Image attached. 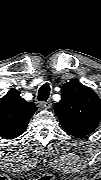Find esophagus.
I'll use <instances>...</instances> for the list:
<instances>
[{"label":"esophagus","mask_w":101,"mask_h":180,"mask_svg":"<svg viewBox=\"0 0 101 180\" xmlns=\"http://www.w3.org/2000/svg\"><path fill=\"white\" fill-rule=\"evenodd\" d=\"M52 106V103L50 100L44 101L40 103V107L42 109H49Z\"/></svg>","instance_id":"1"}]
</instances>
